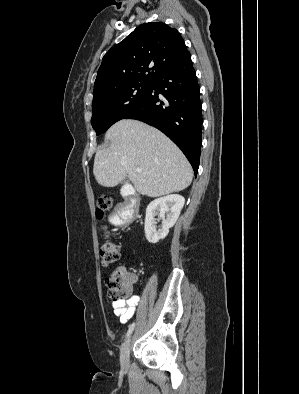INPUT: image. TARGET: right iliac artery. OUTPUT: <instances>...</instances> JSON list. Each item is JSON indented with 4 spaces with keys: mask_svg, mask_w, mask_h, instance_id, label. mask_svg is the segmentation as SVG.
Instances as JSON below:
<instances>
[{
    "mask_svg": "<svg viewBox=\"0 0 299 394\" xmlns=\"http://www.w3.org/2000/svg\"><path fill=\"white\" fill-rule=\"evenodd\" d=\"M134 327H135V323H132L131 325H129V329H128V331H127V334H126V337H129L130 336V334L133 332V330H134Z\"/></svg>",
    "mask_w": 299,
    "mask_h": 394,
    "instance_id": "82829eb1",
    "label": "right iliac artery"
}]
</instances>
